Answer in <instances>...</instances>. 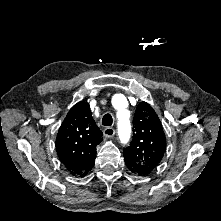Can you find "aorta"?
<instances>
[{"instance_id":"1","label":"aorta","mask_w":221,"mask_h":221,"mask_svg":"<svg viewBox=\"0 0 221 221\" xmlns=\"http://www.w3.org/2000/svg\"><path fill=\"white\" fill-rule=\"evenodd\" d=\"M129 111L120 108L117 114L118 117V135L121 143L126 144L131 135V123L129 120Z\"/></svg>"}]
</instances>
